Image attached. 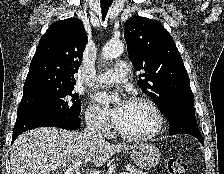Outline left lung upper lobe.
Here are the masks:
<instances>
[{
	"label": "left lung upper lobe",
	"mask_w": 224,
	"mask_h": 174,
	"mask_svg": "<svg viewBox=\"0 0 224 174\" xmlns=\"http://www.w3.org/2000/svg\"><path fill=\"white\" fill-rule=\"evenodd\" d=\"M128 55L136 70H144L139 87L168 117L180 104H194L189 76L167 30L158 21L135 16L125 24Z\"/></svg>",
	"instance_id": "1"
}]
</instances>
